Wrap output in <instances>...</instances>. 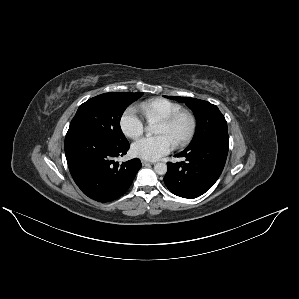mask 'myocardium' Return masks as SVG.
Here are the masks:
<instances>
[{
  "instance_id": "myocardium-1",
  "label": "myocardium",
  "mask_w": 299,
  "mask_h": 299,
  "mask_svg": "<svg viewBox=\"0 0 299 299\" xmlns=\"http://www.w3.org/2000/svg\"><path fill=\"white\" fill-rule=\"evenodd\" d=\"M182 116H187L190 120V128L188 133L180 140L174 143L176 147L184 146L189 143L195 135L197 129V119L195 115L186 109H181L172 115L162 119L159 123L164 124L166 126H173Z\"/></svg>"
}]
</instances>
